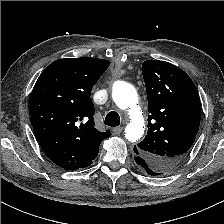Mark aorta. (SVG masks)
<instances>
[{
    "label": "aorta",
    "instance_id": "762f6f07",
    "mask_svg": "<svg viewBox=\"0 0 224 224\" xmlns=\"http://www.w3.org/2000/svg\"><path fill=\"white\" fill-rule=\"evenodd\" d=\"M115 104L122 110H129L130 123L125 128V137L130 142L138 141L144 133V122L137 107L138 96L135 88L129 83L115 82L112 89Z\"/></svg>",
    "mask_w": 224,
    "mask_h": 224
}]
</instances>
